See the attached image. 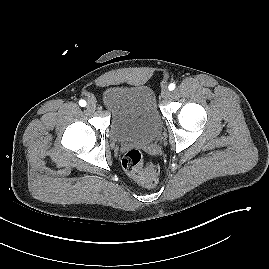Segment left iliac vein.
<instances>
[{"label":"left iliac vein","mask_w":269,"mask_h":269,"mask_svg":"<svg viewBox=\"0 0 269 269\" xmlns=\"http://www.w3.org/2000/svg\"><path fill=\"white\" fill-rule=\"evenodd\" d=\"M161 95L164 99H168L171 96V92L167 87L162 89Z\"/></svg>","instance_id":"left-iliac-vein-1"}]
</instances>
